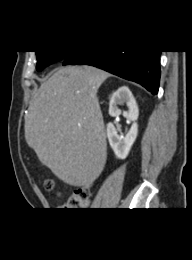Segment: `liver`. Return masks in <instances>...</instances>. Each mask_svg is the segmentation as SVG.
I'll return each instance as SVG.
<instances>
[{
    "label": "liver",
    "instance_id": "6515ba94",
    "mask_svg": "<svg viewBox=\"0 0 192 260\" xmlns=\"http://www.w3.org/2000/svg\"><path fill=\"white\" fill-rule=\"evenodd\" d=\"M109 76L88 65L62 67L30 102L26 142L43 165L71 186L92 184L104 169L107 143L97 91Z\"/></svg>",
    "mask_w": 192,
    "mask_h": 260
}]
</instances>
